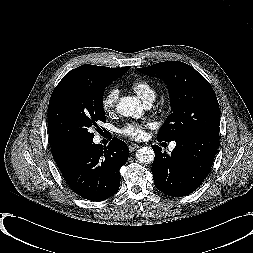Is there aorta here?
<instances>
[{
    "label": "aorta",
    "instance_id": "762f6f07",
    "mask_svg": "<svg viewBox=\"0 0 253 253\" xmlns=\"http://www.w3.org/2000/svg\"><path fill=\"white\" fill-rule=\"evenodd\" d=\"M117 111L123 116L134 118H140L143 114L140 100L132 96L122 97L117 104ZM154 157V151L150 147H142L136 152V158L142 164L151 163Z\"/></svg>",
    "mask_w": 253,
    "mask_h": 253
}]
</instances>
